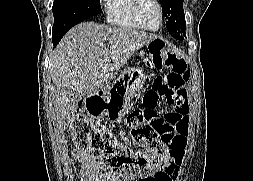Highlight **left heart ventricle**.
Returning a JSON list of instances; mask_svg holds the SVG:
<instances>
[{
  "label": "left heart ventricle",
  "instance_id": "b2bd125f",
  "mask_svg": "<svg viewBox=\"0 0 253 181\" xmlns=\"http://www.w3.org/2000/svg\"><path fill=\"white\" fill-rule=\"evenodd\" d=\"M140 17L146 27H158L160 23V13L153 0H143L140 7Z\"/></svg>",
  "mask_w": 253,
  "mask_h": 181
}]
</instances>
